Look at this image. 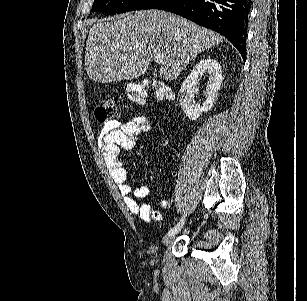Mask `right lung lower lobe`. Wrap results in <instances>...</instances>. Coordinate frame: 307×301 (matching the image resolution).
I'll list each match as a JSON object with an SVG mask.
<instances>
[{"instance_id": "obj_1", "label": "right lung lower lobe", "mask_w": 307, "mask_h": 301, "mask_svg": "<svg viewBox=\"0 0 307 301\" xmlns=\"http://www.w3.org/2000/svg\"><path fill=\"white\" fill-rule=\"evenodd\" d=\"M251 0H153L143 9H162L225 36L246 60Z\"/></svg>"}]
</instances>
